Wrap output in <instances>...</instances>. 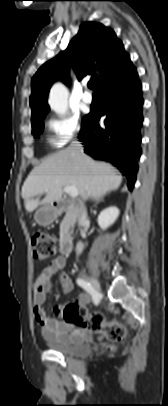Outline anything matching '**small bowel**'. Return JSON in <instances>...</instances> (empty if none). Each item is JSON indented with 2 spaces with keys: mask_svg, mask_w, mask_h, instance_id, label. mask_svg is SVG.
<instances>
[{
  "mask_svg": "<svg viewBox=\"0 0 168 406\" xmlns=\"http://www.w3.org/2000/svg\"><path fill=\"white\" fill-rule=\"evenodd\" d=\"M65 266L66 258L64 256L56 257L41 271L33 285L35 319L40 324L46 339L59 343L76 342L91 336V331L84 329L78 318L68 322L63 315L64 309L68 305L76 307L80 313L90 301L87 294H80L67 305L55 306L53 310L55 317L48 316L43 308L47 294L52 288V278L56 273H60L59 282L64 294H70L74 290L71 278L63 271Z\"/></svg>",
  "mask_w": 168,
  "mask_h": 406,
  "instance_id": "obj_1",
  "label": "small bowel"
}]
</instances>
